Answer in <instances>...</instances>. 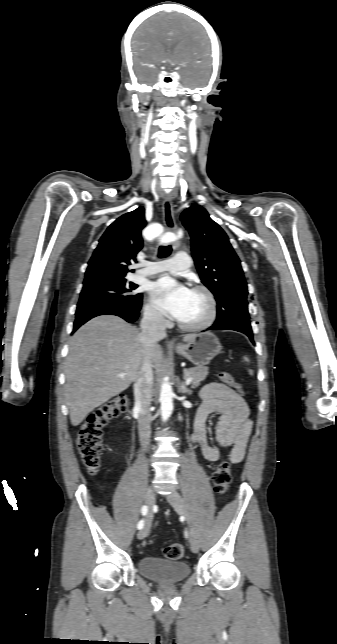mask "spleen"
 <instances>
[{"mask_svg":"<svg viewBox=\"0 0 337 644\" xmlns=\"http://www.w3.org/2000/svg\"><path fill=\"white\" fill-rule=\"evenodd\" d=\"M244 360H245V361H247V362L249 361L247 357H244ZM249 374H250V375H253V371H252V370H249Z\"/></svg>","mask_w":337,"mask_h":644,"instance_id":"3e777b00","label":"spleen"}]
</instances>
